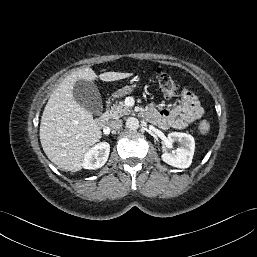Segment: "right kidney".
<instances>
[{
  "instance_id": "ca27d5eb",
  "label": "right kidney",
  "mask_w": 257,
  "mask_h": 257,
  "mask_svg": "<svg viewBox=\"0 0 257 257\" xmlns=\"http://www.w3.org/2000/svg\"><path fill=\"white\" fill-rule=\"evenodd\" d=\"M110 152V145L101 142L90 148L84 155L83 168L95 170L101 168L106 163Z\"/></svg>"
}]
</instances>
